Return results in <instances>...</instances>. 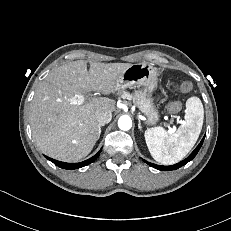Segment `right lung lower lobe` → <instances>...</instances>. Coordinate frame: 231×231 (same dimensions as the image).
Instances as JSON below:
<instances>
[{"label":"right lung lower lobe","instance_id":"obj_1","mask_svg":"<svg viewBox=\"0 0 231 231\" xmlns=\"http://www.w3.org/2000/svg\"><path fill=\"white\" fill-rule=\"evenodd\" d=\"M100 152H101V150L96 155H94L93 157H91L90 159L85 160V161L80 162V163H65V162H60V161L54 160V159L49 158L47 156H45V157L48 160H50L51 162H53L55 165H57L58 167H60V168L71 169L72 170V169H78V168L84 167V166L92 163L95 159L98 158Z\"/></svg>","mask_w":231,"mask_h":231}]
</instances>
